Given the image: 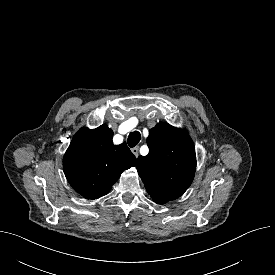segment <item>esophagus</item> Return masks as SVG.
Segmentation results:
<instances>
[{
    "label": "esophagus",
    "mask_w": 275,
    "mask_h": 275,
    "mask_svg": "<svg viewBox=\"0 0 275 275\" xmlns=\"http://www.w3.org/2000/svg\"><path fill=\"white\" fill-rule=\"evenodd\" d=\"M131 151L135 155V157L137 158L138 155H139V147L136 146V147L132 148Z\"/></svg>",
    "instance_id": "obj_1"
}]
</instances>
